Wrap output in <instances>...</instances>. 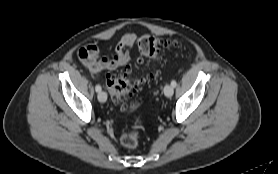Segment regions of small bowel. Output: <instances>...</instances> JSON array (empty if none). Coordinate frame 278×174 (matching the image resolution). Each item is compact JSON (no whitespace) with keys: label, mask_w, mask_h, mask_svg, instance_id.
Masks as SVG:
<instances>
[{"label":"small bowel","mask_w":278,"mask_h":174,"mask_svg":"<svg viewBox=\"0 0 278 174\" xmlns=\"http://www.w3.org/2000/svg\"><path fill=\"white\" fill-rule=\"evenodd\" d=\"M134 32L125 33L116 46V54L111 57H100L95 44H87L78 51L83 66L95 77L103 71H112L126 65L131 59V51L136 41Z\"/></svg>","instance_id":"small-bowel-1"}]
</instances>
